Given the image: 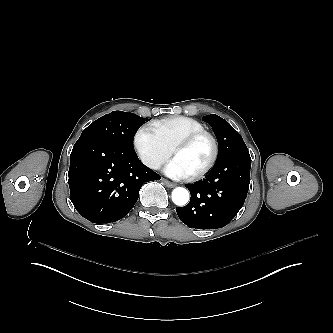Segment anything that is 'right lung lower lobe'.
<instances>
[{
    "label": "right lung lower lobe",
    "instance_id": "obj_1",
    "mask_svg": "<svg viewBox=\"0 0 333 333\" xmlns=\"http://www.w3.org/2000/svg\"><path fill=\"white\" fill-rule=\"evenodd\" d=\"M160 176L137 154L95 136L79 138L70 156V199L93 223L115 222L133 208L141 186Z\"/></svg>",
    "mask_w": 333,
    "mask_h": 333
}]
</instances>
